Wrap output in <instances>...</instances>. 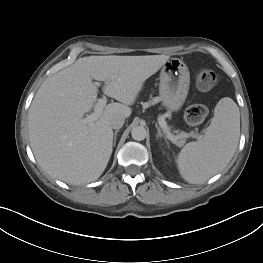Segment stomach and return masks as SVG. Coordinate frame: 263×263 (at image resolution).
<instances>
[{"label": "stomach", "mask_w": 263, "mask_h": 263, "mask_svg": "<svg viewBox=\"0 0 263 263\" xmlns=\"http://www.w3.org/2000/svg\"><path fill=\"white\" fill-rule=\"evenodd\" d=\"M190 85V73L186 64L178 58H170L160 72L159 94L163 105L172 112L183 106Z\"/></svg>", "instance_id": "obj_1"}]
</instances>
